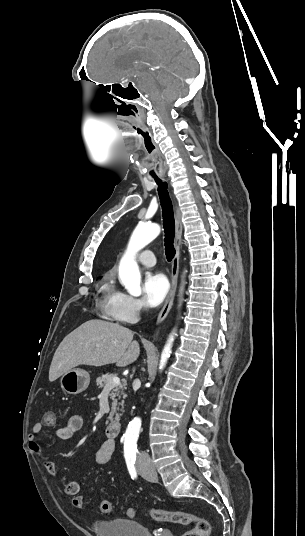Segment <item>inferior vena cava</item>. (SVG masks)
I'll use <instances>...</instances> for the list:
<instances>
[{"mask_svg":"<svg viewBox=\"0 0 305 536\" xmlns=\"http://www.w3.org/2000/svg\"><path fill=\"white\" fill-rule=\"evenodd\" d=\"M147 454H141L140 458H146Z\"/></svg>","mask_w":305,"mask_h":536,"instance_id":"1","label":"inferior vena cava"}]
</instances>
